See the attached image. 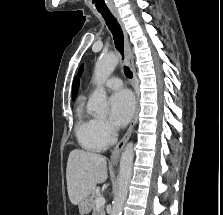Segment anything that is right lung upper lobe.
Segmentation results:
<instances>
[{
  "label": "right lung upper lobe",
  "instance_id": "right-lung-upper-lobe-1",
  "mask_svg": "<svg viewBox=\"0 0 223 215\" xmlns=\"http://www.w3.org/2000/svg\"><path fill=\"white\" fill-rule=\"evenodd\" d=\"M77 89H78V79L77 77L74 79L73 82V87H72V95H73V99L75 98V96L77 95Z\"/></svg>",
  "mask_w": 223,
  "mask_h": 215
}]
</instances>
